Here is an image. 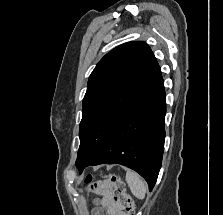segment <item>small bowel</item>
Returning a JSON list of instances; mask_svg holds the SVG:
<instances>
[{
    "mask_svg": "<svg viewBox=\"0 0 223 215\" xmlns=\"http://www.w3.org/2000/svg\"><path fill=\"white\" fill-rule=\"evenodd\" d=\"M94 191L101 195L100 200L105 215H126L121 204L112 197V185L109 181H99L94 185ZM96 215H103L102 210H96Z\"/></svg>",
    "mask_w": 223,
    "mask_h": 215,
    "instance_id": "small-bowel-1",
    "label": "small bowel"
}]
</instances>
